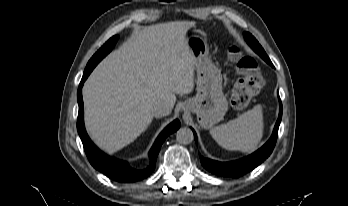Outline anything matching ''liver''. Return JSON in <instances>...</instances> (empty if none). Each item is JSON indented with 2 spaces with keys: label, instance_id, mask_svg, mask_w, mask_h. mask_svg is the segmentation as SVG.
I'll return each mask as SVG.
<instances>
[{
  "label": "liver",
  "instance_id": "liver-1",
  "mask_svg": "<svg viewBox=\"0 0 348 206\" xmlns=\"http://www.w3.org/2000/svg\"><path fill=\"white\" fill-rule=\"evenodd\" d=\"M194 22L160 23L136 31L106 56L83 87L86 129L113 154L133 142L153 120V109L170 112L175 94L194 89L195 58L185 34Z\"/></svg>",
  "mask_w": 348,
  "mask_h": 206
}]
</instances>
